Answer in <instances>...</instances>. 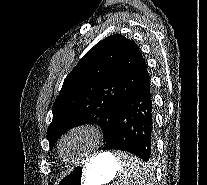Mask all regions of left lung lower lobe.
Instances as JSON below:
<instances>
[{"label":"left lung lower lobe","mask_w":207,"mask_h":185,"mask_svg":"<svg viewBox=\"0 0 207 185\" xmlns=\"http://www.w3.org/2000/svg\"><path fill=\"white\" fill-rule=\"evenodd\" d=\"M150 79L118 111L102 150H123L148 161L154 151Z\"/></svg>","instance_id":"obj_1"}]
</instances>
